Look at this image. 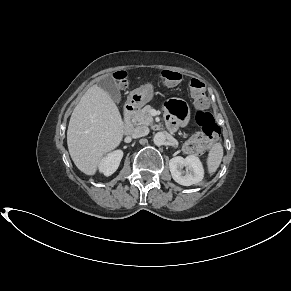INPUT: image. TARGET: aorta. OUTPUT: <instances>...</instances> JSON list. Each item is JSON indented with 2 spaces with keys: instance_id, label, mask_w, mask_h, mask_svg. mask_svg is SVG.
Segmentation results:
<instances>
[{
  "instance_id": "762f6f07",
  "label": "aorta",
  "mask_w": 291,
  "mask_h": 291,
  "mask_svg": "<svg viewBox=\"0 0 291 291\" xmlns=\"http://www.w3.org/2000/svg\"><path fill=\"white\" fill-rule=\"evenodd\" d=\"M165 141H166V136L164 133L158 132L154 135L153 142L155 145L161 146L165 143Z\"/></svg>"
}]
</instances>
